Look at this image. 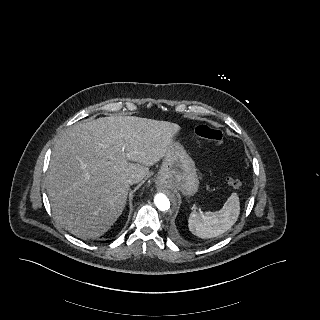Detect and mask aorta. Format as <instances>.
Returning a JSON list of instances; mask_svg holds the SVG:
<instances>
[{
  "label": "aorta",
  "mask_w": 320,
  "mask_h": 320,
  "mask_svg": "<svg viewBox=\"0 0 320 320\" xmlns=\"http://www.w3.org/2000/svg\"><path fill=\"white\" fill-rule=\"evenodd\" d=\"M178 202L174 195L169 191L158 193L154 197L153 211L158 217L173 212Z\"/></svg>",
  "instance_id": "762f6f07"
}]
</instances>
